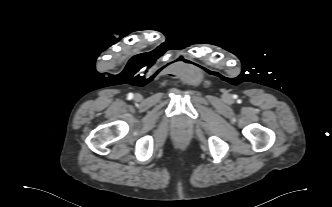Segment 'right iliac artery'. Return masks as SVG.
I'll return each mask as SVG.
<instances>
[{"label":"right iliac artery","instance_id":"82829eb1","mask_svg":"<svg viewBox=\"0 0 332 207\" xmlns=\"http://www.w3.org/2000/svg\"><path fill=\"white\" fill-rule=\"evenodd\" d=\"M133 96H134V95H133L132 93H129V94H128V99H132Z\"/></svg>","mask_w":332,"mask_h":207}]
</instances>
